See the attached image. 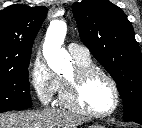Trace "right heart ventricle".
I'll use <instances>...</instances> for the list:
<instances>
[{
    "label": "right heart ventricle",
    "instance_id": "1",
    "mask_svg": "<svg viewBox=\"0 0 142 128\" xmlns=\"http://www.w3.org/2000/svg\"><path fill=\"white\" fill-rule=\"evenodd\" d=\"M75 61H76L77 66H81V67L93 66L91 59H88V60H77V59H75ZM58 92H59V103H60V105L67 107L65 105V102H64V83L61 80H60V88H59Z\"/></svg>",
    "mask_w": 142,
    "mask_h": 128
}]
</instances>
